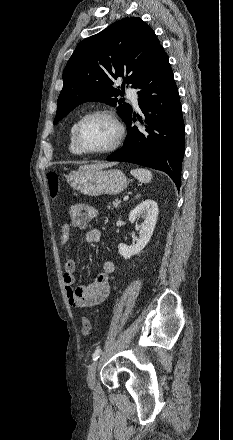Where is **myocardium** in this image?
<instances>
[{"instance_id":"f54148a6","label":"myocardium","mask_w":233,"mask_h":440,"mask_svg":"<svg viewBox=\"0 0 233 440\" xmlns=\"http://www.w3.org/2000/svg\"><path fill=\"white\" fill-rule=\"evenodd\" d=\"M95 116H103L108 118L113 125L116 128V136L114 141L110 146L104 149L100 150H89L85 149L79 141V133L81 130L82 125L90 118ZM125 135V128L121 121L119 120L118 116L115 114L114 111L110 109L100 108V109H94L92 111L87 112L84 114L75 124L74 130H73V142L77 150L81 154L85 155H106L114 152L122 143Z\"/></svg>"}]
</instances>
